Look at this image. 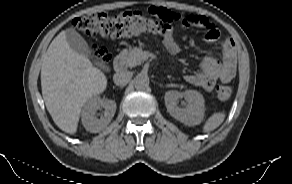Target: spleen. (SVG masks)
<instances>
[{
	"mask_svg": "<svg viewBox=\"0 0 292 184\" xmlns=\"http://www.w3.org/2000/svg\"><path fill=\"white\" fill-rule=\"evenodd\" d=\"M225 119L224 112H217L210 116L203 126V132L208 133L219 127Z\"/></svg>",
	"mask_w": 292,
	"mask_h": 184,
	"instance_id": "3e777b00",
	"label": "spleen"
}]
</instances>
